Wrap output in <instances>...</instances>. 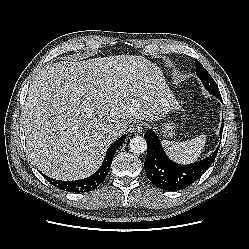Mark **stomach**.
<instances>
[{"instance_id":"stomach-1","label":"stomach","mask_w":249,"mask_h":249,"mask_svg":"<svg viewBox=\"0 0 249 249\" xmlns=\"http://www.w3.org/2000/svg\"><path fill=\"white\" fill-rule=\"evenodd\" d=\"M177 109L178 105L176 101L172 98V106L168 113L173 114ZM168 113H166L164 117H166ZM176 127L177 125L174 122L168 120V122L162 124L161 136L164 138H172L176 134Z\"/></svg>"}]
</instances>
